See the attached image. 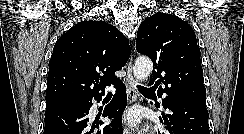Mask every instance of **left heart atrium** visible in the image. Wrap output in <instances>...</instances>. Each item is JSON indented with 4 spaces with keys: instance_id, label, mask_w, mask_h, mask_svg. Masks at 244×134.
I'll use <instances>...</instances> for the list:
<instances>
[{
    "instance_id": "left-heart-atrium-1",
    "label": "left heart atrium",
    "mask_w": 244,
    "mask_h": 134,
    "mask_svg": "<svg viewBox=\"0 0 244 134\" xmlns=\"http://www.w3.org/2000/svg\"><path fill=\"white\" fill-rule=\"evenodd\" d=\"M125 120L127 121V123L129 125L136 126L137 124H139V122L141 120V115H140L139 111L132 110L126 114Z\"/></svg>"
}]
</instances>
